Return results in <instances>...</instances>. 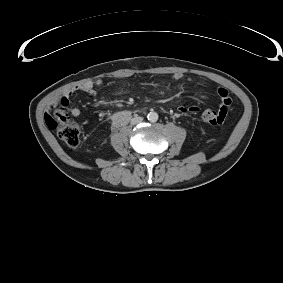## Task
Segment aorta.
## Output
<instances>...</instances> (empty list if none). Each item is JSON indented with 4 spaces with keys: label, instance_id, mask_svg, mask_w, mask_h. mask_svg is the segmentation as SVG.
I'll list each match as a JSON object with an SVG mask.
<instances>
[{
    "label": "aorta",
    "instance_id": "762f6f07",
    "mask_svg": "<svg viewBox=\"0 0 283 283\" xmlns=\"http://www.w3.org/2000/svg\"><path fill=\"white\" fill-rule=\"evenodd\" d=\"M147 119L150 121V122H156L158 120V114L156 112H150L148 115H147Z\"/></svg>",
    "mask_w": 283,
    "mask_h": 283
}]
</instances>
